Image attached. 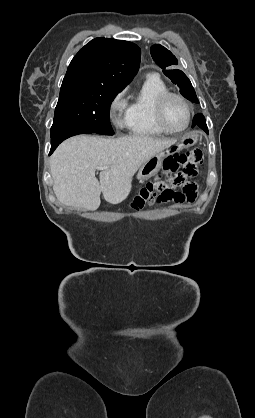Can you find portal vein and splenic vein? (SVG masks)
Masks as SVG:
<instances>
[{"label": "portal vein and splenic vein", "instance_id": "18ae733b", "mask_svg": "<svg viewBox=\"0 0 255 418\" xmlns=\"http://www.w3.org/2000/svg\"><path fill=\"white\" fill-rule=\"evenodd\" d=\"M106 168H108V167H98L97 170H104Z\"/></svg>", "mask_w": 255, "mask_h": 418}]
</instances>
